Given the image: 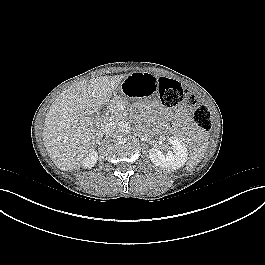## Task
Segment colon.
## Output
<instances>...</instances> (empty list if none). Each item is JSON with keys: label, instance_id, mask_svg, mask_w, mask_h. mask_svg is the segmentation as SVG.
Listing matches in <instances>:
<instances>
[{"label": "colon", "instance_id": "obj_1", "mask_svg": "<svg viewBox=\"0 0 265 265\" xmlns=\"http://www.w3.org/2000/svg\"><path fill=\"white\" fill-rule=\"evenodd\" d=\"M158 90L163 106L168 109L174 108L179 104L195 107L193 112V121L195 124L204 131L211 129L212 123L208 108L204 105H197L195 95L183 87L178 81L161 77L158 80Z\"/></svg>", "mask_w": 265, "mask_h": 265}]
</instances>
